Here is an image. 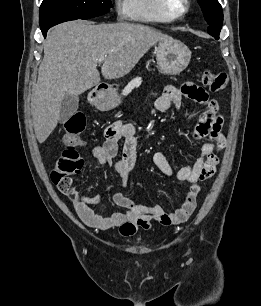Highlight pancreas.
<instances>
[{"label":"pancreas","instance_id":"cf45deb5","mask_svg":"<svg viewBox=\"0 0 261 306\" xmlns=\"http://www.w3.org/2000/svg\"><path fill=\"white\" fill-rule=\"evenodd\" d=\"M142 84V79L140 77H136L135 79L131 80L123 89L122 95L129 94L134 88L140 87Z\"/></svg>","mask_w":261,"mask_h":306}]
</instances>
